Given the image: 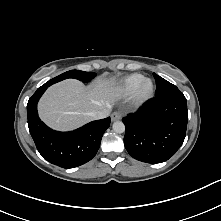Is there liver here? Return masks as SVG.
I'll use <instances>...</instances> for the list:
<instances>
[{"label": "liver", "mask_w": 221, "mask_h": 221, "mask_svg": "<svg viewBox=\"0 0 221 221\" xmlns=\"http://www.w3.org/2000/svg\"><path fill=\"white\" fill-rule=\"evenodd\" d=\"M119 97L114 79H98L90 86L67 79L47 89L39 101L38 112L49 127L67 131L91 121V112L111 107Z\"/></svg>", "instance_id": "obj_1"}]
</instances>
